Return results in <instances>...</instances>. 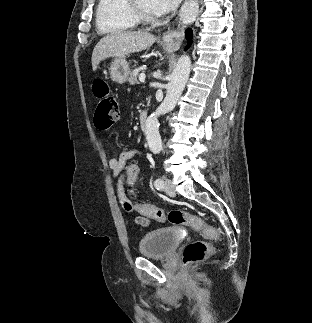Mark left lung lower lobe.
I'll return each mask as SVG.
<instances>
[{
    "label": "left lung lower lobe",
    "instance_id": "left-lung-lower-lobe-1",
    "mask_svg": "<svg viewBox=\"0 0 312 323\" xmlns=\"http://www.w3.org/2000/svg\"><path fill=\"white\" fill-rule=\"evenodd\" d=\"M185 35H186V38L188 40L187 46L185 48V49H187L190 46L191 42H192V30L187 29L186 32H185Z\"/></svg>",
    "mask_w": 312,
    "mask_h": 323
}]
</instances>
